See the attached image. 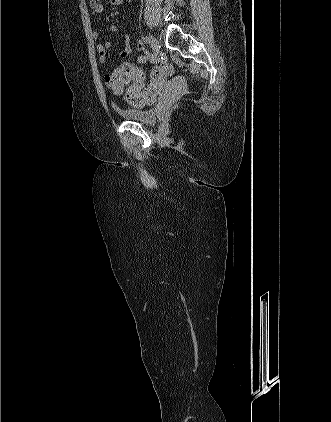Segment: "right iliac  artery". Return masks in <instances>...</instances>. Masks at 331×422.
I'll return each mask as SVG.
<instances>
[{"label": "right iliac artery", "mask_w": 331, "mask_h": 422, "mask_svg": "<svg viewBox=\"0 0 331 422\" xmlns=\"http://www.w3.org/2000/svg\"><path fill=\"white\" fill-rule=\"evenodd\" d=\"M142 40H143V42H144V43H146V44H148V43H149V41H148V38H147V37H143V38H142Z\"/></svg>", "instance_id": "right-iliac-artery-1"}]
</instances>
